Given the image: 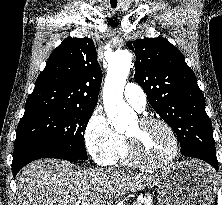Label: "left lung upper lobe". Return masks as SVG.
I'll use <instances>...</instances> for the list:
<instances>
[{"mask_svg": "<svg viewBox=\"0 0 222 205\" xmlns=\"http://www.w3.org/2000/svg\"><path fill=\"white\" fill-rule=\"evenodd\" d=\"M127 46L136 55V82L153 109L177 134L181 153L216 157L204 95L181 52L165 38L139 39Z\"/></svg>", "mask_w": 222, "mask_h": 205, "instance_id": "left-lung-upper-lobe-1", "label": "left lung upper lobe"}]
</instances>
